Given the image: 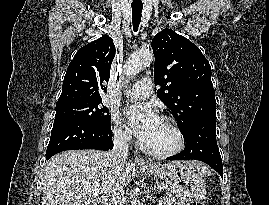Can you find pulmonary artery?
Returning <instances> with one entry per match:
<instances>
[{
  "instance_id": "1",
  "label": "pulmonary artery",
  "mask_w": 269,
  "mask_h": 205,
  "mask_svg": "<svg viewBox=\"0 0 269 205\" xmlns=\"http://www.w3.org/2000/svg\"><path fill=\"white\" fill-rule=\"evenodd\" d=\"M151 93L152 80L149 78H142L126 92V95L134 99H145L148 98Z\"/></svg>"
}]
</instances>
